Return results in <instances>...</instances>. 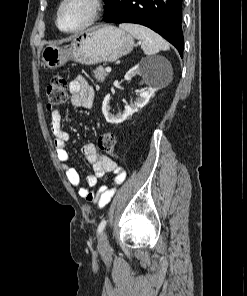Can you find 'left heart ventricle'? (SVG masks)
Listing matches in <instances>:
<instances>
[{
  "label": "left heart ventricle",
  "mask_w": 247,
  "mask_h": 296,
  "mask_svg": "<svg viewBox=\"0 0 247 296\" xmlns=\"http://www.w3.org/2000/svg\"><path fill=\"white\" fill-rule=\"evenodd\" d=\"M90 13L86 0H71L62 10L60 25L64 29H74L83 24Z\"/></svg>",
  "instance_id": "obj_1"
}]
</instances>
